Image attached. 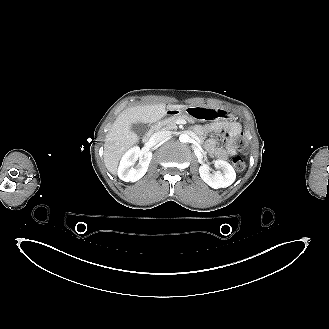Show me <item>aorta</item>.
<instances>
[{"label":"aorta","instance_id":"obj_1","mask_svg":"<svg viewBox=\"0 0 329 329\" xmlns=\"http://www.w3.org/2000/svg\"><path fill=\"white\" fill-rule=\"evenodd\" d=\"M179 141L182 143H187L190 141V136L186 133H183L179 136Z\"/></svg>","mask_w":329,"mask_h":329}]
</instances>
